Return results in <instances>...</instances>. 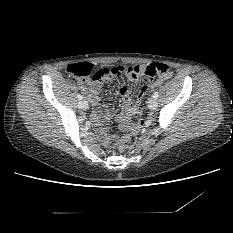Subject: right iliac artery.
Wrapping results in <instances>:
<instances>
[{
  "label": "right iliac artery",
  "mask_w": 233,
  "mask_h": 233,
  "mask_svg": "<svg viewBox=\"0 0 233 233\" xmlns=\"http://www.w3.org/2000/svg\"><path fill=\"white\" fill-rule=\"evenodd\" d=\"M77 99H78V100H82V99H83L82 95H80V94L77 95Z\"/></svg>",
  "instance_id": "right-iliac-artery-1"
}]
</instances>
